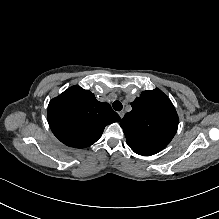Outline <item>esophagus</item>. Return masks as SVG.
Returning a JSON list of instances; mask_svg holds the SVG:
<instances>
[{"instance_id": "34e87169", "label": "esophagus", "mask_w": 219, "mask_h": 219, "mask_svg": "<svg viewBox=\"0 0 219 219\" xmlns=\"http://www.w3.org/2000/svg\"><path fill=\"white\" fill-rule=\"evenodd\" d=\"M119 116L121 117V119L124 117V111L119 112Z\"/></svg>"}]
</instances>
